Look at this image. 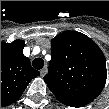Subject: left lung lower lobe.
<instances>
[{"label":"left lung lower lobe","instance_id":"obj_1","mask_svg":"<svg viewBox=\"0 0 109 109\" xmlns=\"http://www.w3.org/2000/svg\"><path fill=\"white\" fill-rule=\"evenodd\" d=\"M63 103V102H62ZM64 104H66V105H68V106H72V107H77V106H73V105H70V104H67V103H64Z\"/></svg>","mask_w":109,"mask_h":109}]
</instances>
